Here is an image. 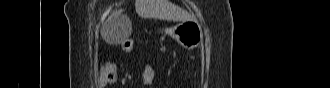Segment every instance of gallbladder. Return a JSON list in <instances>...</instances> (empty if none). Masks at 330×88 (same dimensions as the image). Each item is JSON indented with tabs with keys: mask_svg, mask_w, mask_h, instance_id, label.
<instances>
[{
	"mask_svg": "<svg viewBox=\"0 0 330 88\" xmlns=\"http://www.w3.org/2000/svg\"><path fill=\"white\" fill-rule=\"evenodd\" d=\"M131 31H132L131 25H129V23L126 22L125 20H122L119 28L117 29L119 41L122 42L127 37H129V35L131 34Z\"/></svg>",
	"mask_w": 330,
	"mask_h": 88,
	"instance_id": "gallbladder-1",
	"label": "gallbladder"
}]
</instances>
